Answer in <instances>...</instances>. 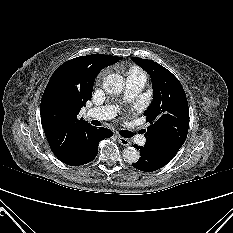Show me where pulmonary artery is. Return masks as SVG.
I'll return each instance as SVG.
<instances>
[{"label":"pulmonary artery","instance_id":"1","mask_svg":"<svg viewBox=\"0 0 233 233\" xmlns=\"http://www.w3.org/2000/svg\"><path fill=\"white\" fill-rule=\"evenodd\" d=\"M145 84H146L145 75L129 74L126 79V88H125V96H124L125 100L127 101L133 100L142 91ZM116 112H117V108L115 106H102V107L89 109L86 112V116L98 120H107L113 118ZM135 140L140 144H143L145 142V138L139 134H135Z\"/></svg>","mask_w":233,"mask_h":233}]
</instances>
